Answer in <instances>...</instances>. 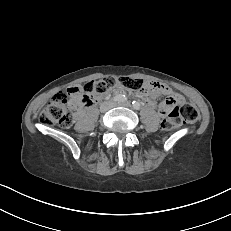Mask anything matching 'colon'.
<instances>
[{"instance_id": "1", "label": "colon", "mask_w": 231, "mask_h": 231, "mask_svg": "<svg viewBox=\"0 0 231 231\" xmlns=\"http://www.w3.org/2000/svg\"><path fill=\"white\" fill-rule=\"evenodd\" d=\"M122 87L133 95L142 93L154 94L156 85H148L142 79L133 77L109 76L101 80L87 82L80 87L82 100L69 99L65 93L56 95L39 114V121L46 126L69 127L73 123V114L80 106H91L95 98L106 93L114 87ZM70 94V93H69ZM162 127L164 130H172L182 122H194L199 113L195 106L184 103L180 106L173 105L166 113Z\"/></svg>"}]
</instances>
